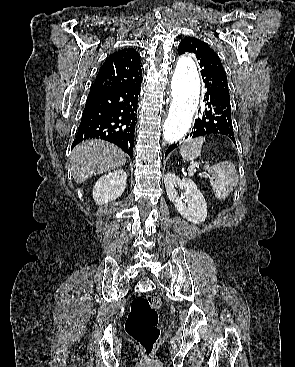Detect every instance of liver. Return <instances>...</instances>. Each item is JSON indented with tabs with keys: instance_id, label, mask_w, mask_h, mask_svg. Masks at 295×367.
<instances>
[{
	"instance_id": "obj_1",
	"label": "liver",
	"mask_w": 295,
	"mask_h": 367,
	"mask_svg": "<svg viewBox=\"0 0 295 367\" xmlns=\"http://www.w3.org/2000/svg\"><path fill=\"white\" fill-rule=\"evenodd\" d=\"M127 155L117 146L102 140H89L78 144L71 153L70 167L76 183L102 174L126 163Z\"/></svg>"
}]
</instances>
